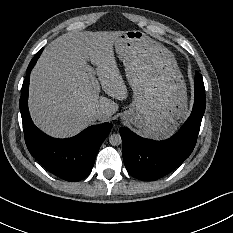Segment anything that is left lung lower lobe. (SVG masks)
<instances>
[{
	"mask_svg": "<svg viewBox=\"0 0 233 233\" xmlns=\"http://www.w3.org/2000/svg\"><path fill=\"white\" fill-rule=\"evenodd\" d=\"M195 100L192 113L180 130L164 141L145 139L126 127L120 128L123 160L129 174L144 180H157L177 168L193 151L206 107L203 78L195 74Z\"/></svg>",
	"mask_w": 233,
	"mask_h": 233,
	"instance_id": "1",
	"label": "left lung lower lobe"
}]
</instances>
